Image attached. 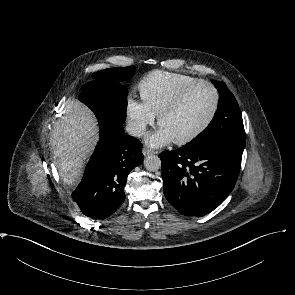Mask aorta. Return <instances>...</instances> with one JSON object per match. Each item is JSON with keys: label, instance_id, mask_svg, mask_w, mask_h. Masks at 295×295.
Segmentation results:
<instances>
[{"label": "aorta", "instance_id": "1", "mask_svg": "<svg viewBox=\"0 0 295 295\" xmlns=\"http://www.w3.org/2000/svg\"><path fill=\"white\" fill-rule=\"evenodd\" d=\"M144 166L150 172L157 171L161 168V160L156 155L147 156L144 160Z\"/></svg>", "mask_w": 295, "mask_h": 295}]
</instances>
